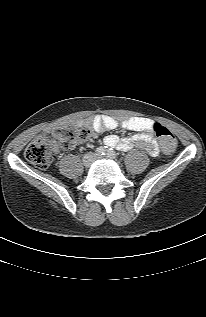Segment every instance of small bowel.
<instances>
[{"label":"small bowel","mask_w":206,"mask_h":317,"mask_svg":"<svg viewBox=\"0 0 206 317\" xmlns=\"http://www.w3.org/2000/svg\"><path fill=\"white\" fill-rule=\"evenodd\" d=\"M153 120L144 117H131L123 120H117L107 115H96L91 118L83 119L75 123L78 127H86L91 130V135L122 128L136 132L134 135L126 138H119L116 135H108L104 138V143L108 147H115L121 151H127L131 148H141L150 155L156 156L159 153L157 142L153 135ZM52 150L58 151V146L53 142Z\"/></svg>","instance_id":"small-bowel-1"}]
</instances>
